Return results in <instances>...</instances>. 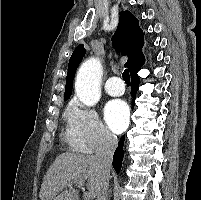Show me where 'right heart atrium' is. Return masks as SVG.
<instances>
[{
  "label": "right heart atrium",
  "mask_w": 201,
  "mask_h": 200,
  "mask_svg": "<svg viewBox=\"0 0 201 200\" xmlns=\"http://www.w3.org/2000/svg\"><path fill=\"white\" fill-rule=\"evenodd\" d=\"M66 120L65 138L73 150L94 153L115 147L116 136L102 123L94 108L73 101L66 111Z\"/></svg>",
  "instance_id": "right-heart-atrium-1"
}]
</instances>
